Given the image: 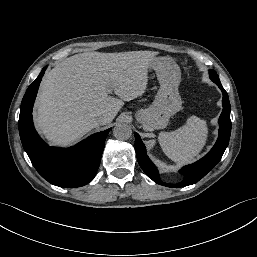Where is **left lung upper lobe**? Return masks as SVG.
Listing matches in <instances>:
<instances>
[{
	"label": "left lung upper lobe",
	"mask_w": 257,
	"mask_h": 257,
	"mask_svg": "<svg viewBox=\"0 0 257 257\" xmlns=\"http://www.w3.org/2000/svg\"><path fill=\"white\" fill-rule=\"evenodd\" d=\"M209 74H210V78L213 82H215L216 84H221L219 77L214 70H210Z\"/></svg>",
	"instance_id": "obj_1"
}]
</instances>
